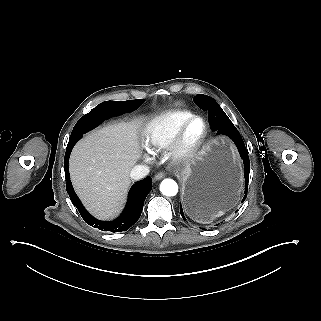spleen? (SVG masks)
Masks as SVG:
<instances>
[{
    "mask_svg": "<svg viewBox=\"0 0 321 321\" xmlns=\"http://www.w3.org/2000/svg\"><path fill=\"white\" fill-rule=\"evenodd\" d=\"M222 215H224V212L223 211H219L217 214H215L214 216L215 217H220V216H222Z\"/></svg>",
    "mask_w": 321,
    "mask_h": 321,
    "instance_id": "spleen-1",
    "label": "spleen"
}]
</instances>
